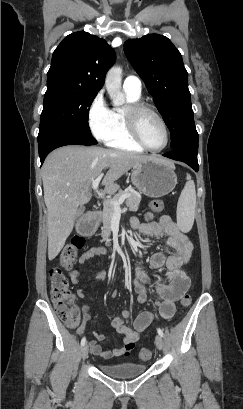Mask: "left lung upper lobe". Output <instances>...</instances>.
Returning a JSON list of instances; mask_svg holds the SVG:
<instances>
[{
	"instance_id": "5c2ea615",
	"label": "left lung upper lobe",
	"mask_w": 243,
	"mask_h": 409,
	"mask_svg": "<svg viewBox=\"0 0 243 409\" xmlns=\"http://www.w3.org/2000/svg\"><path fill=\"white\" fill-rule=\"evenodd\" d=\"M124 52L154 98L171 132V147H175L185 127L194 122L188 73L180 52L167 37L158 34L127 40ZM191 150L197 154L198 146L193 145Z\"/></svg>"
}]
</instances>
